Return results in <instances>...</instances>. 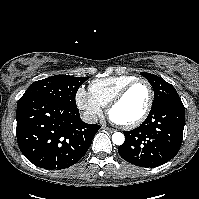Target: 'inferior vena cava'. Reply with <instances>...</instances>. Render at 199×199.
I'll use <instances>...</instances> for the list:
<instances>
[{"label":"inferior vena cava","mask_w":199,"mask_h":199,"mask_svg":"<svg viewBox=\"0 0 199 199\" xmlns=\"http://www.w3.org/2000/svg\"><path fill=\"white\" fill-rule=\"evenodd\" d=\"M81 119L83 122L88 123V124H96L98 122V117L93 112H84L81 115Z\"/></svg>","instance_id":"1"}]
</instances>
